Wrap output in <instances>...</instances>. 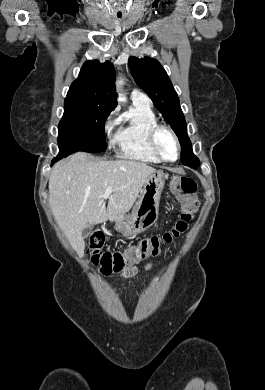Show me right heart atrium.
I'll list each match as a JSON object with an SVG mask.
<instances>
[{"instance_id": "right-heart-atrium-1", "label": "right heart atrium", "mask_w": 265, "mask_h": 390, "mask_svg": "<svg viewBox=\"0 0 265 390\" xmlns=\"http://www.w3.org/2000/svg\"><path fill=\"white\" fill-rule=\"evenodd\" d=\"M116 111H112L104 122V131L109 133L116 126L118 120L115 118Z\"/></svg>"}]
</instances>
